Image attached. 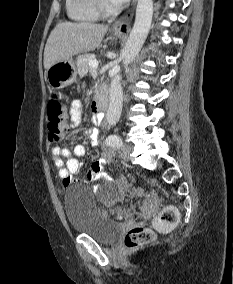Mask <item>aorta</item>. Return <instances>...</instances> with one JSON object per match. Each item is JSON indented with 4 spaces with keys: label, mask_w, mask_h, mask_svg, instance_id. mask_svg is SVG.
Here are the masks:
<instances>
[{
    "label": "aorta",
    "mask_w": 233,
    "mask_h": 284,
    "mask_svg": "<svg viewBox=\"0 0 233 284\" xmlns=\"http://www.w3.org/2000/svg\"><path fill=\"white\" fill-rule=\"evenodd\" d=\"M153 16V0H138L133 28L123 49V65H128L135 59L149 33ZM123 106V90L121 75H115L109 88V107L106 120L109 125H115L121 116Z\"/></svg>",
    "instance_id": "aorta-1"
}]
</instances>
